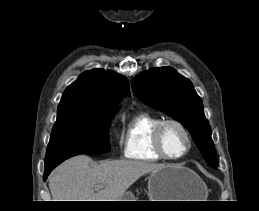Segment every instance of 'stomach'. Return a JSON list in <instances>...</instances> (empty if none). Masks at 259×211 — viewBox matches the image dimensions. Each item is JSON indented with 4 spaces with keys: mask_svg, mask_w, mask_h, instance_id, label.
<instances>
[{
    "mask_svg": "<svg viewBox=\"0 0 259 211\" xmlns=\"http://www.w3.org/2000/svg\"><path fill=\"white\" fill-rule=\"evenodd\" d=\"M206 191L201 178L192 170L176 165H165L148 175L150 201H198ZM131 192L119 201H135Z\"/></svg>",
    "mask_w": 259,
    "mask_h": 211,
    "instance_id": "0dacf381",
    "label": "stomach"
}]
</instances>
